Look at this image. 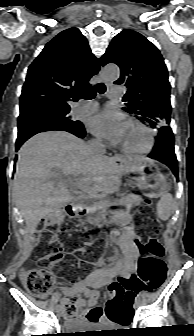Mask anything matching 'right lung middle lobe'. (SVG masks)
Returning <instances> with one entry per match:
<instances>
[{"instance_id":"obj_1","label":"right lung middle lobe","mask_w":194,"mask_h":336,"mask_svg":"<svg viewBox=\"0 0 194 336\" xmlns=\"http://www.w3.org/2000/svg\"><path fill=\"white\" fill-rule=\"evenodd\" d=\"M70 109L39 110L18 118V136L45 130L79 129L82 123L73 121L68 115Z\"/></svg>"}]
</instances>
